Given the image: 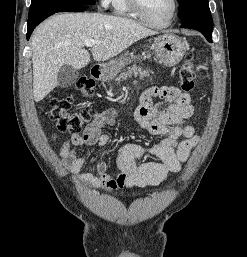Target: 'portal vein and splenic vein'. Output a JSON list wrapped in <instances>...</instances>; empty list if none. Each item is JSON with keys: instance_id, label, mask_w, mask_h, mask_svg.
<instances>
[{"instance_id": "18ae733b", "label": "portal vein and splenic vein", "mask_w": 247, "mask_h": 257, "mask_svg": "<svg viewBox=\"0 0 247 257\" xmlns=\"http://www.w3.org/2000/svg\"><path fill=\"white\" fill-rule=\"evenodd\" d=\"M100 42L99 41H96V40H93V39H87L84 41V45L86 47H92L93 45L95 44H99Z\"/></svg>"}]
</instances>
